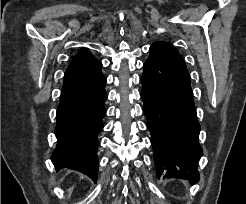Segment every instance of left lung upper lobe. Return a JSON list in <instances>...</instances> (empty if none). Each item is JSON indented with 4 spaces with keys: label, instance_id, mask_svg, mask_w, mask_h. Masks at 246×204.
<instances>
[{
    "label": "left lung upper lobe",
    "instance_id": "left-lung-upper-lobe-1",
    "mask_svg": "<svg viewBox=\"0 0 246 204\" xmlns=\"http://www.w3.org/2000/svg\"><path fill=\"white\" fill-rule=\"evenodd\" d=\"M155 44H161V45H165V46H167V47H170V48H172V49H174L170 44H168V43H164V42H156ZM175 50V49H174Z\"/></svg>",
    "mask_w": 246,
    "mask_h": 204
}]
</instances>
